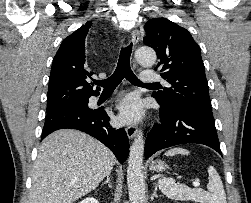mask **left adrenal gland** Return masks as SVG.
Returning <instances> with one entry per match:
<instances>
[{"label":"left adrenal gland","instance_id":"1","mask_svg":"<svg viewBox=\"0 0 251 203\" xmlns=\"http://www.w3.org/2000/svg\"><path fill=\"white\" fill-rule=\"evenodd\" d=\"M156 191H157V184H155V188H154L153 194H152V196H151V200H154V198H157V197H158Z\"/></svg>","mask_w":251,"mask_h":203}]
</instances>
